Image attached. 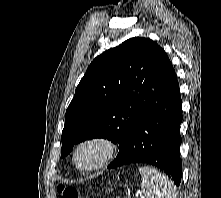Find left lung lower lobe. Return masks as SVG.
I'll list each match as a JSON object with an SVG mask.
<instances>
[{"mask_svg":"<svg viewBox=\"0 0 221 198\" xmlns=\"http://www.w3.org/2000/svg\"><path fill=\"white\" fill-rule=\"evenodd\" d=\"M181 96L174 69L159 97L140 119L116 159L108 168L147 163L163 170L178 186L180 158Z\"/></svg>","mask_w":221,"mask_h":198,"instance_id":"left-lung-lower-lobe-1","label":"left lung lower lobe"}]
</instances>
